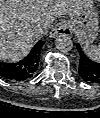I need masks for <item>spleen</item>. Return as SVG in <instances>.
I'll return each mask as SVG.
<instances>
[{
    "label": "spleen",
    "instance_id": "1",
    "mask_svg": "<svg viewBox=\"0 0 100 118\" xmlns=\"http://www.w3.org/2000/svg\"><path fill=\"white\" fill-rule=\"evenodd\" d=\"M84 50L92 60L99 61L100 60V46L91 45L90 43H85Z\"/></svg>",
    "mask_w": 100,
    "mask_h": 118
}]
</instances>
